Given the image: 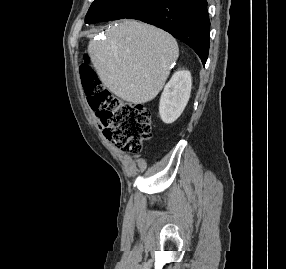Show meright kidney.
<instances>
[{"instance_id":"obj_1","label":"right kidney","mask_w":286,"mask_h":269,"mask_svg":"<svg viewBox=\"0 0 286 269\" xmlns=\"http://www.w3.org/2000/svg\"><path fill=\"white\" fill-rule=\"evenodd\" d=\"M191 87L189 71H177L173 74L160 98L159 114L164 123L171 124L181 115L189 101Z\"/></svg>"}]
</instances>
